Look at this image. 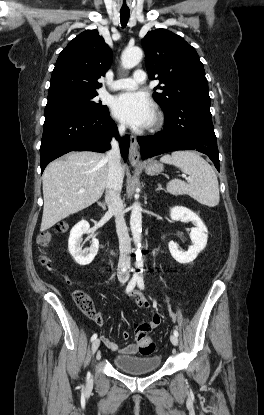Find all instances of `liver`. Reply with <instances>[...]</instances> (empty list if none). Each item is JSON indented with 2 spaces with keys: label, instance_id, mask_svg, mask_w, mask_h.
I'll list each match as a JSON object with an SVG mask.
<instances>
[{
  "label": "liver",
  "instance_id": "obj_1",
  "mask_svg": "<svg viewBox=\"0 0 264 415\" xmlns=\"http://www.w3.org/2000/svg\"><path fill=\"white\" fill-rule=\"evenodd\" d=\"M123 174L124 168L122 167ZM108 159L101 153L72 152L43 173L44 208L40 230L97 202L106 187ZM80 190H84L83 193Z\"/></svg>",
  "mask_w": 264,
  "mask_h": 415
}]
</instances>
